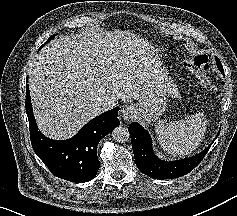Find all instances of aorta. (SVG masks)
<instances>
[{
	"label": "aorta",
	"instance_id": "762f6f07",
	"mask_svg": "<svg viewBox=\"0 0 237 216\" xmlns=\"http://www.w3.org/2000/svg\"><path fill=\"white\" fill-rule=\"evenodd\" d=\"M113 140L119 144L127 143L130 139L129 130L125 126L116 127L112 131Z\"/></svg>",
	"mask_w": 237,
	"mask_h": 216
}]
</instances>
